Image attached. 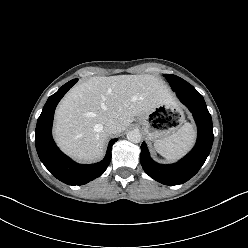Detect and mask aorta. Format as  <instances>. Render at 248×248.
I'll use <instances>...</instances> for the list:
<instances>
[{
  "label": "aorta",
  "mask_w": 248,
  "mask_h": 248,
  "mask_svg": "<svg viewBox=\"0 0 248 248\" xmlns=\"http://www.w3.org/2000/svg\"><path fill=\"white\" fill-rule=\"evenodd\" d=\"M127 140L132 143H139L141 141V133L137 130H132L127 133Z\"/></svg>",
  "instance_id": "aorta-1"
}]
</instances>
